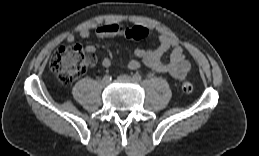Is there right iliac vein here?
Wrapping results in <instances>:
<instances>
[{
  "mask_svg": "<svg viewBox=\"0 0 259 156\" xmlns=\"http://www.w3.org/2000/svg\"><path fill=\"white\" fill-rule=\"evenodd\" d=\"M101 84H102L103 87H106L110 84V80L103 79Z\"/></svg>",
  "mask_w": 259,
  "mask_h": 156,
  "instance_id": "1",
  "label": "right iliac vein"
}]
</instances>
